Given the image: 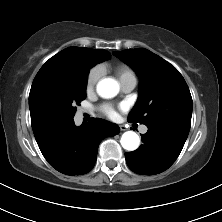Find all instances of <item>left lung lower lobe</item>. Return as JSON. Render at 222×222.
<instances>
[{"instance_id":"obj_1","label":"left lung lower lobe","mask_w":222,"mask_h":222,"mask_svg":"<svg viewBox=\"0 0 222 222\" xmlns=\"http://www.w3.org/2000/svg\"><path fill=\"white\" fill-rule=\"evenodd\" d=\"M143 144L125 153L129 168L138 174L155 175L167 170L179 156L189 129L178 122H163L147 126Z\"/></svg>"}]
</instances>
